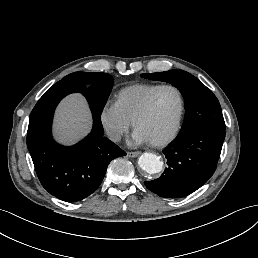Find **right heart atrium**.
<instances>
[{"label": "right heart atrium", "instance_id": "1", "mask_svg": "<svg viewBox=\"0 0 258 258\" xmlns=\"http://www.w3.org/2000/svg\"><path fill=\"white\" fill-rule=\"evenodd\" d=\"M99 119L105 132L112 138L120 137L130 127V122L114 103L103 107Z\"/></svg>", "mask_w": 258, "mask_h": 258}]
</instances>
